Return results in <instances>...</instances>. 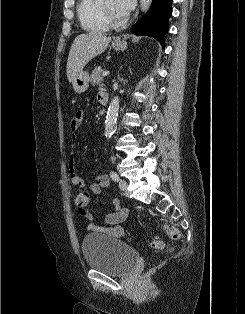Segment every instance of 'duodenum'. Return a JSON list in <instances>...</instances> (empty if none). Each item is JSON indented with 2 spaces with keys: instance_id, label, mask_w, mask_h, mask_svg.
Masks as SVG:
<instances>
[{
  "instance_id": "obj_1",
  "label": "duodenum",
  "mask_w": 245,
  "mask_h": 314,
  "mask_svg": "<svg viewBox=\"0 0 245 314\" xmlns=\"http://www.w3.org/2000/svg\"><path fill=\"white\" fill-rule=\"evenodd\" d=\"M100 101L102 104H107L108 102V95L106 93L100 94Z\"/></svg>"
}]
</instances>
